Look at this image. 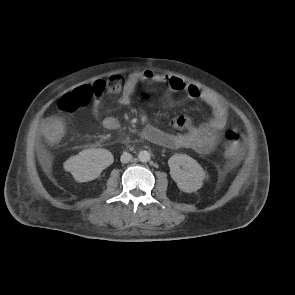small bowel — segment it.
<instances>
[{
  "label": "small bowel",
  "instance_id": "small-bowel-1",
  "mask_svg": "<svg viewBox=\"0 0 295 295\" xmlns=\"http://www.w3.org/2000/svg\"><path fill=\"white\" fill-rule=\"evenodd\" d=\"M158 83L165 84L171 93H181L207 104L211 108L212 116L201 125H196L189 117L178 116L171 122L172 127L177 130L176 133H168L148 124L141 133L142 138L166 148L192 149L201 154L212 152L226 131L228 109L220 99L196 85L176 76L145 70L130 76L128 85L119 93V101L127 105L140 89ZM105 96L97 97L91 105V113L95 118L99 117L100 99ZM101 124L108 130H117L120 127L118 119L112 116L102 118Z\"/></svg>",
  "mask_w": 295,
  "mask_h": 295
}]
</instances>
